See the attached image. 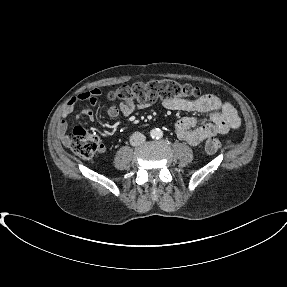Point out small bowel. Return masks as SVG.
<instances>
[{
	"label": "small bowel",
	"mask_w": 287,
	"mask_h": 287,
	"mask_svg": "<svg viewBox=\"0 0 287 287\" xmlns=\"http://www.w3.org/2000/svg\"><path fill=\"white\" fill-rule=\"evenodd\" d=\"M100 95V89L93 88L70 99L63 111L62 119L57 126L58 136L64 145H68L70 141V137L67 133L68 118L74 107L79 102H89L91 105H96ZM164 106L169 110L209 114L210 121L204 124H200L197 117H183L176 122L175 132L178 138L193 146L202 143L209 137L226 134L232 129H237L241 124L240 117L235 108L230 103L224 102L211 94L204 95L194 101L182 98L167 100L164 102ZM146 107H148V104L128 105L121 102L119 105L113 104L108 108V116L110 118H116L119 114H122L124 117H130L135 109ZM81 116H86L89 120H94L95 118L94 112L88 107L82 109L76 116V120L78 121Z\"/></svg>",
	"instance_id": "1"
}]
</instances>
